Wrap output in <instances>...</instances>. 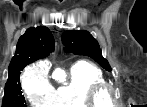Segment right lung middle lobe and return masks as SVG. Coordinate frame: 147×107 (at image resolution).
I'll list each match as a JSON object with an SVG mask.
<instances>
[{
    "mask_svg": "<svg viewBox=\"0 0 147 107\" xmlns=\"http://www.w3.org/2000/svg\"><path fill=\"white\" fill-rule=\"evenodd\" d=\"M28 64L30 63L23 65L16 74L9 76L5 85L2 107H26L25 98L21 92L20 71Z\"/></svg>",
    "mask_w": 147,
    "mask_h": 107,
    "instance_id": "obj_1",
    "label": "right lung middle lobe"
}]
</instances>
